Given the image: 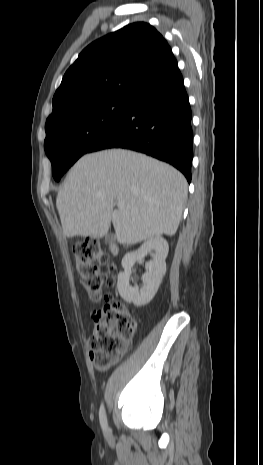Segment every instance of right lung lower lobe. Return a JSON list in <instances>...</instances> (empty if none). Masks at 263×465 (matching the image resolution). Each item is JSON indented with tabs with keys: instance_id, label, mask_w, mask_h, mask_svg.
<instances>
[{
	"instance_id": "1",
	"label": "right lung lower lobe",
	"mask_w": 263,
	"mask_h": 465,
	"mask_svg": "<svg viewBox=\"0 0 263 465\" xmlns=\"http://www.w3.org/2000/svg\"><path fill=\"white\" fill-rule=\"evenodd\" d=\"M192 113L178 68L139 89L126 115L89 152L127 148L172 164L191 181Z\"/></svg>"
}]
</instances>
